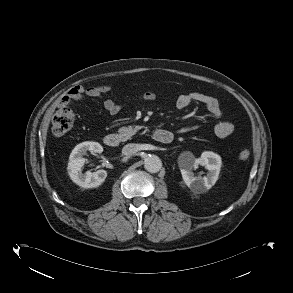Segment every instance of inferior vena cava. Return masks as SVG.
Wrapping results in <instances>:
<instances>
[{
	"instance_id": "602c4592",
	"label": "inferior vena cava",
	"mask_w": 293,
	"mask_h": 293,
	"mask_svg": "<svg viewBox=\"0 0 293 293\" xmlns=\"http://www.w3.org/2000/svg\"><path fill=\"white\" fill-rule=\"evenodd\" d=\"M137 151H138L137 144L130 143V144H127L123 147L122 154L128 156V155H132V154L136 153Z\"/></svg>"
}]
</instances>
